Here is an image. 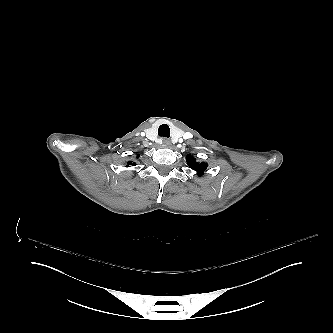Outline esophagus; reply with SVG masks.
<instances>
[{"label": "esophagus", "mask_w": 333, "mask_h": 333, "mask_svg": "<svg viewBox=\"0 0 333 333\" xmlns=\"http://www.w3.org/2000/svg\"><path fill=\"white\" fill-rule=\"evenodd\" d=\"M163 144L166 146H170L171 145V141L167 138V139H163Z\"/></svg>", "instance_id": "obj_1"}]
</instances>
